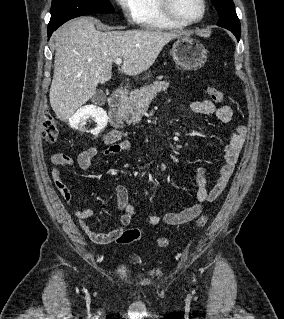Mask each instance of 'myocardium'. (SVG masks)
Returning a JSON list of instances; mask_svg holds the SVG:
<instances>
[{"mask_svg": "<svg viewBox=\"0 0 284 319\" xmlns=\"http://www.w3.org/2000/svg\"><path fill=\"white\" fill-rule=\"evenodd\" d=\"M160 7L164 15L171 20L172 22L182 25V26H190L201 22L207 13V1L201 0L202 3V13L201 15L194 20H184L177 15L174 9V1L173 0H159Z\"/></svg>", "mask_w": 284, "mask_h": 319, "instance_id": "f54148a6", "label": "myocardium"}]
</instances>
